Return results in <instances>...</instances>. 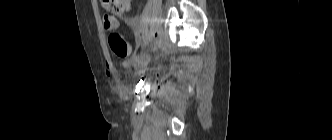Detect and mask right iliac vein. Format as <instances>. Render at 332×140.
I'll use <instances>...</instances> for the list:
<instances>
[{
    "instance_id": "1",
    "label": "right iliac vein",
    "mask_w": 332,
    "mask_h": 140,
    "mask_svg": "<svg viewBox=\"0 0 332 140\" xmlns=\"http://www.w3.org/2000/svg\"><path fill=\"white\" fill-rule=\"evenodd\" d=\"M150 61V56L147 53L142 54L137 61L134 63L135 69L145 67Z\"/></svg>"
}]
</instances>
